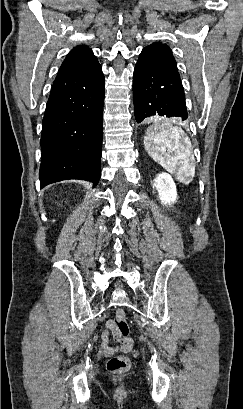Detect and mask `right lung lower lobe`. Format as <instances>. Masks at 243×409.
Here are the masks:
<instances>
[{
    "mask_svg": "<svg viewBox=\"0 0 243 409\" xmlns=\"http://www.w3.org/2000/svg\"><path fill=\"white\" fill-rule=\"evenodd\" d=\"M105 78L99 65L82 75H57L42 122L40 184L100 178Z\"/></svg>",
    "mask_w": 243,
    "mask_h": 409,
    "instance_id": "1",
    "label": "right lung lower lobe"
}]
</instances>
